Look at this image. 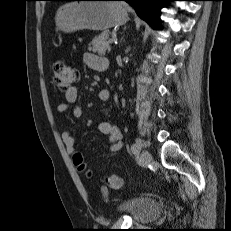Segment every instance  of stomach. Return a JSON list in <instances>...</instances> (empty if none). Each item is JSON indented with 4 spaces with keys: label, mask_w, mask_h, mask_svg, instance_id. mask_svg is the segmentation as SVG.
Instances as JSON below:
<instances>
[{
    "label": "stomach",
    "mask_w": 231,
    "mask_h": 231,
    "mask_svg": "<svg viewBox=\"0 0 231 231\" xmlns=\"http://www.w3.org/2000/svg\"><path fill=\"white\" fill-rule=\"evenodd\" d=\"M127 10L114 0H78L61 6L55 15L58 29L65 33L79 30L107 31L126 23Z\"/></svg>",
    "instance_id": "obj_1"
}]
</instances>
